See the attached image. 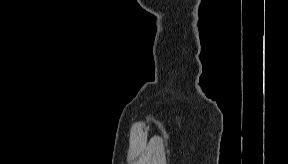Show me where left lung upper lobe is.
<instances>
[{
    "instance_id": "1",
    "label": "left lung upper lobe",
    "mask_w": 288,
    "mask_h": 164,
    "mask_svg": "<svg viewBox=\"0 0 288 164\" xmlns=\"http://www.w3.org/2000/svg\"><path fill=\"white\" fill-rule=\"evenodd\" d=\"M222 82H223V79H222V78L217 79L216 82L214 83V87H215L216 85H219V84L222 83Z\"/></svg>"
}]
</instances>
